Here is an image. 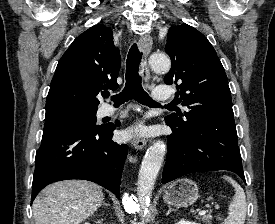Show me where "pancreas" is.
Returning a JSON list of instances; mask_svg holds the SVG:
<instances>
[{"instance_id": "obj_1", "label": "pancreas", "mask_w": 275, "mask_h": 224, "mask_svg": "<svg viewBox=\"0 0 275 224\" xmlns=\"http://www.w3.org/2000/svg\"><path fill=\"white\" fill-rule=\"evenodd\" d=\"M200 221L205 222L206 224H212L211 220V215H204L200 218H198Z\"/></svg>"}]
</instances>
